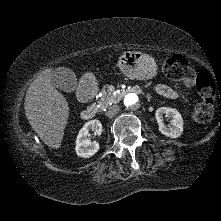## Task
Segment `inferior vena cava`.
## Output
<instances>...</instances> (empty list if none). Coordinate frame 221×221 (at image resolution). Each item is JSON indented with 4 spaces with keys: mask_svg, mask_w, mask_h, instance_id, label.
<instances>
[{
    "mask_svg": "<svg viewBox=\"0 0 221 221\" xmlns=\"http://www.w3.org/2000/svg\"><path fill=\"white\" fill-rule=\"evenodd\" d=\"M120 108L118 105H112L108 111L106 112V116H108L109 118L114 117L115 115L118 114Z\"/></svg>",
    "mask_w": 221,
    "mask_h": 221,
    "instance_id": "obj_1",
    "label": "inferior vena cava"
}]
</instances>
